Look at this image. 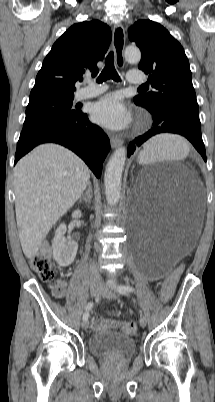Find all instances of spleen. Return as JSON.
Segmentation results:
<instances>
[{"label":"spleen","instance_id":"1","mask_svg":"<svg viewBox=\"0 0 215 402\" xmlns=\"http://www.w3.org/2000/svg\"><path fill=\"white\" fill-rule=\"evenodd\" d=\"M188 153L187 143L178 136L161 135L145 144L141 153L146 162L179 159Z\"/></svg>","mask_w":215,"mask_h":402}]
</instances>
